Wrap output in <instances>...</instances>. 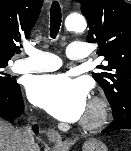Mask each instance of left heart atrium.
Returning <instances> with one entry per match:
<instances>
[{"label":"left heart atrium","instance_id":"obj_1","mask_svg":"<svg viewBox=\"0 0 131 151\" xmlns=\"http://www.w3.org/2000/svg\"><path fill=\"white\" fill-rule=\"evenodd\" d=\"M87 87L65 74H50L33 77L27 85L29 100L55 118L74 122L87 108Z\"/></svg>","mask_w":131,"mask_h":151}]
</instances>
